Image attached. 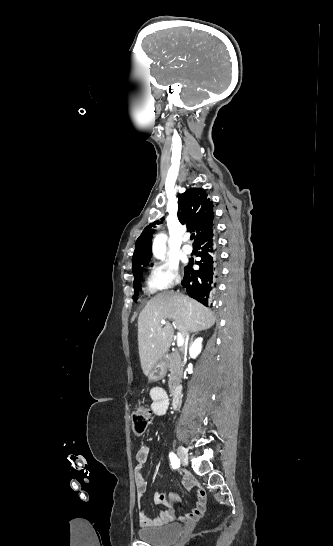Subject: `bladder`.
I'll use <instances>...</instances> for the list:
<instances>
[{
    "label": "bladder",
    "instance_id": "1",
    "mask_svg": "<svg viewBox=\"0 0 333 546\" xmlns=\"http://www.w3.org/2000/svg\"><path fill=\"white\" fill-rule=\"evenodd\" d=\"M182 532V525L173 522L160 527L140 528L137 534L140 540L153 546H167L174 542Z\"/></svg>",
    "mask_w": 333,
    "mask_h": 546
}]
</instances>
